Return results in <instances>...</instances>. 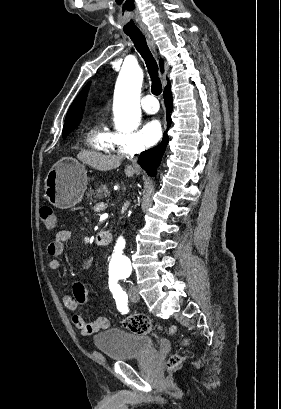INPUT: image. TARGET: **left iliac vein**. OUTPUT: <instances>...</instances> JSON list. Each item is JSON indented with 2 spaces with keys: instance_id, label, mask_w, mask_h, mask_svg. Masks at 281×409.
Returning a JSON list of instances; mask_svg holds the SVG:
<instances>
[{
  "instance_id": "4c4485c4",
  "label": "left iliac vein",
  "mask_w": 281,
  "mask_h": 409,
  "mask_svg": "<svg viewBox=\"0 0 281 409\" xmlns=\"http://www.w3.org/2000/svg\"><path fill=\"white\" fill-rule=\"evenodd\" d=\"M129 298L132 302H138L140 299L137 288L133 285L130 287L129 290Z\"/></svg>"
}]
</instances>
